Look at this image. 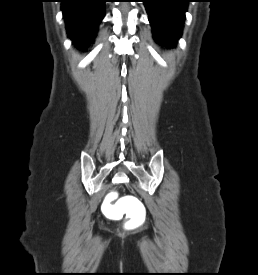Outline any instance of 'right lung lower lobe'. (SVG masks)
I'll return each mask as SVG.
<instances>
[{
    "mask_svg": "<svg viewBox=\"0 0 258 275\" xmlns=\"http://www.w3.org/2000/svg\"><path fill=\"white\" fill-rule=\"evenodd\" d=\"M106 0H61L68 36L78 48H86L105 15Z\"/></svg>",
    "mask_w": 258,
    "mask_h": 275,
    "instance_id": "right-lung-lower-lobe-1",
    "label": "right lung lower lobe"
}]
</instances>
